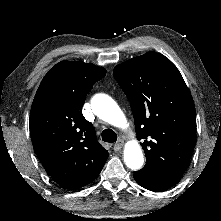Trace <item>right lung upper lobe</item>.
Returning a JSON list of instances; mask_svg holds the SVG:
<instances>
[{
  "label": "right lung upper lobe",
  "instance_id": "cb5924a9",
  "mask_svg": "<svg viewBox=\"0 0 221 221\" xmlns=\"http://www.w3.org/2000/svg\"><path fill=\"white\" fill-rule=\"evenodd\" d=\"M104 68L80 61H61L43 78L32 103L30 135L48 174L68 189L98 177L108 151L96 140L82 107Z\"/></svg>",
  "mask_w": 221,
  "mask_h": 221
}]
</instances>
